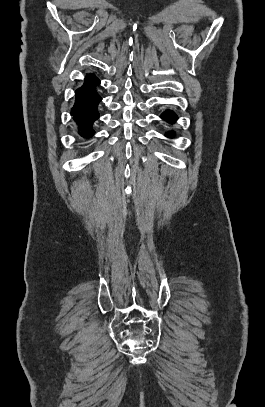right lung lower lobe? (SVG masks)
Returning a JSON list of instances; mask_svg holds the SVG:
<instances>
[{"instance_id": "1", "label": "right lung lower lobe", "mask_w": 265, "mask_h": 407, "mask_svg": "<svg viewBox=\"0 0 265 407\" xmlns=\"http://www.w3.org/2000/svg\"><path fill=\"white\" fill-rule=\"evenodd\" d=\"M100 84L94 74H87L84 84L76 90V99L71 115L78 125L79 134L82 137H91L95 132L92 124L99 118L97 111L98 103L102 100L96 92V86Z\"/></svg>"}]
</instances>
